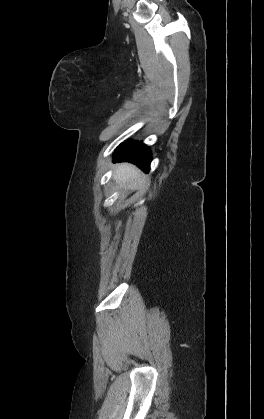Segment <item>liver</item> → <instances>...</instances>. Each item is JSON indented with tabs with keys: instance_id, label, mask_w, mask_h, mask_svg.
I'll return each mask as SVG.
<instances>
[{
	"instance_id": "obj_1",
	"label": "liver",
	"mask_w": 264,
	"mask_h": 419,
	"mask_svg": "<svg viewBox=\"0 0 264 419\" xmlns=\"http://www.w3.org/2000/svg\"><path fill=\"white\" fill-rule=\"evenodd\" d=\"M139 177L138 169L128 163H121L116 167L114 179L121 184H129L136 187V181Z\"/></svg>"
}]
</instances>
